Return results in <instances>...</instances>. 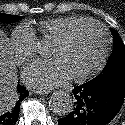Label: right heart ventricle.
I'll return each mask as SVG.
<instances>
[{
	"label": "right heart ventricle",
	"instance_id": "1",
	"mask_svg": "<svg viewBox=\"0 0 125 125\" xmlns=\"http://www.w3.org/2000/svg\"><path fill=\"white\" fill-rule=\"evenodd\" d=\"M88 18L79 16H65L41 21L40 32L44 39L54 41L70 26L84 21Z\"/></svg>",
	"mask_w": 125,
	"mask_h": 125
}]
</instances>
